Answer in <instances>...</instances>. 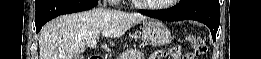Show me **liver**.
I'll use <instances>...</instances> for the list:
<instances>
[{"mask_svg":"<svg viewBox=\"0 0 261 59\" xmlns=\"http://www.w3.org/2000/svg\"><path fill=\"white\" fill-rule=\"evenodd\" d=\"M145 20L140 14L103 8L60 16L40 31L39 59H75L100 34L114 45L113 39Z\"/></svg>","mask_w":261,"mask_h":59,"instance_id":"obj_1","label":"liver"}]
</instances>
